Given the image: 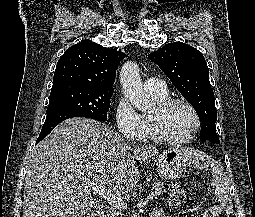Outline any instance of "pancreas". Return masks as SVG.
<instances>
[{
  "instance_id": "pancreas-1",
  "label": "pancreas",
  "mask_w": 255,
  "mask_h": 217,
  "mask_svg": "<svg viewBox=\"0 0 255 217\" xmlns=\"http://www.w3.org/2000/svg\"><path fill=\"white\" fill-rule=\"evenodd\" d=\"M162 189H163V183L155 182L153 184V187L150 193V196L152 197V199L153 198L156 199L162 193ZM107 217H125V216H124V213H122L121 211L110 208L107 211Z\"/></svg>"
}]
</instances>
